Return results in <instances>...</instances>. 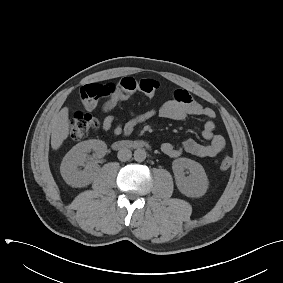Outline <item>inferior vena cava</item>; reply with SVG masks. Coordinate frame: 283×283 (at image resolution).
<instances>
[{"label":"inferior vena cava","instance_id":"obj_1","mask_svg":"<svg viewBox=\"0 0 283 283\" xmlns=\"http://www.w3.org/2000/svg\"><path fill=\"white\" fill-rule=\"evenodd\" d=\"M117 157L120 161H128L132 157V152L127 148H122L118 151Z\"/></svg>","mask_w":283,"mask_h":283}]
</instances>
